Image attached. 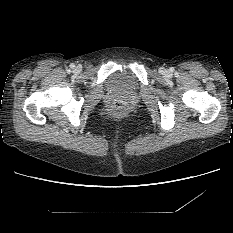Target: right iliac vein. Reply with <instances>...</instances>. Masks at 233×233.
Segmentation results:
<instances>
[{
    "mask_svg": "<svg viewBox=\"0 0 233 233\" xmlns=\"http://www.w3.org/2000/svg\"><path fill=\"white\" fill-rule=\"evenodd\" d=\"M75 70H76L77 72H80V71H81V67H80V66H77Z\"/></svg>",
    "mask_w": 233,
    "mask_h": 233,
    "instance_id": "obj_1",
    "label": "right iliac vein"
}]
</instances>
